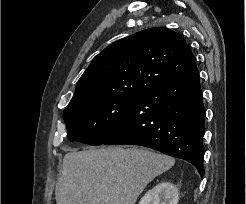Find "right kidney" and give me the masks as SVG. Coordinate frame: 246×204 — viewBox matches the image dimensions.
<instances>
[{
  "label": "right kidney",
  "mask_w": 246,
  "mask_h": 204,
  "mask_svg": "<svg viewBox=\"0 0 246 204\" xmlns=\"http://www.w3.org/2000/svg\"><path fill=\"white\" fill-rule=\"evenodd\" d=\"M179 192L170 182H161L145 193L138 204H177Z\"/></svg>",
  "instance_id": "obj_1"
}]
</instances>
